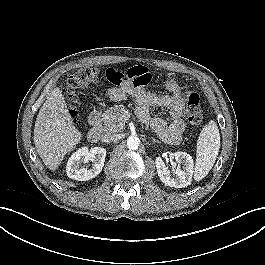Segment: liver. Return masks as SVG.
<instances>
[{
	"label": "liver",
	"mask_w": 265,
	"mask_h": 265,
	"mask_svg": "<svg viewBox=\"0 0 265 265\" xmlns=\"http://www.w3.org/2000/svg\"><path fill=\"white\" fill-rule=\"evenodd\" d=\"M82 133L74 125L60 88L47 96L36 118L34 144L43 163L56 170L66 154L75 149Z\"/></svg>",
	"instance_id": "6515ba94"
}]
</instances>
